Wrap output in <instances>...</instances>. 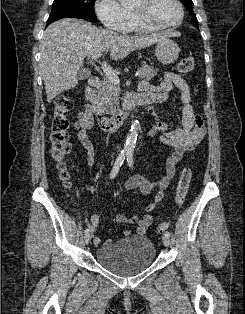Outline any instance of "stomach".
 <instances>
[{
    "instance_id": "0dacf381",
    "label": "stomach",
    "mask_w": 245,
    "mask_h": 314,
    "mask_svg": "<svg viewBox=\"0 0 245 314\" xmlns=\"http://www.w3.org/2000/svg\"><path fill=\"white\" fill-rule=\"evenodd\" d=\"M179 53L178 44L169 38L159 40L155 47V55L164 65L174 63L178 59Z\"/></svg>"
}]
</instances>
